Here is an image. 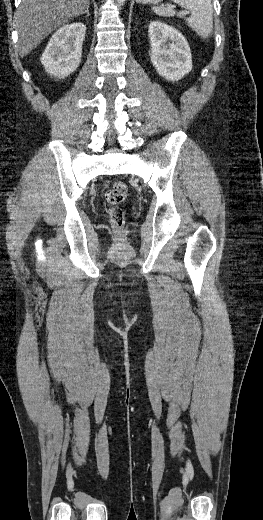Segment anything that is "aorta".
<instances>
[{
	"label": "aorta",
	"mask_w": 263,
	"mask_h": 520,
	"mask_svg": "<svg viewBox=\"0 0 263 520\" xmlns=\"http://www.w3.org/2000/svg\"><path fill=\"white\" fill-rule=\"evenodd\" d=\"M126 0H117L120 5H123Z\"/></svg>",
	"instance_id": "aorta-1"
}]
</instances>
